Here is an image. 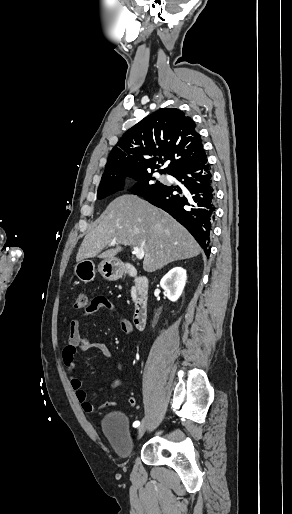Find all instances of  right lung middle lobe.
<instances>
[{"label":"right lung middle lobe","mask_w":292,"mask_h":514,"mask_svg":"<svg viewBox=\"0 0 292 514\" xmlns=\"http://www.w3.org/2000/svg\"><path fill=\"white\" fill-rule=\"evenodd\" d=\"M153 172L154 171L128 176L137 181L136 185L133 187V189H131V192L138 196H144L145 194L161 187L163 184L152 177ZM159 173L164 174V172L160 171ZM124 180L125 176L101 180L98 188L97 198L103 199L113 193L118 192L123 188Z\"/></svg>","instance_id":"right-lung-middle-lobe-1"}]
</instances>
